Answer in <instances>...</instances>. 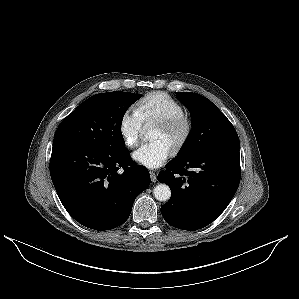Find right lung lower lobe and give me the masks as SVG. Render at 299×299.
Returning <instances> with one entry per match:
<instances>
[{
  "instance_id": "98d812e1",
  "label": "right lung lower lobe",
  "mask_w": 299,
  "mask_h": 299,
  "mask_svg": "<svg viewBox=\"0 0 299 299\" xmlns=\"http://www.w3.org/2000/svg\"><path fill=\"white\" fill-rule=\"evenodd\" d=\"M50 174L67 212L98 231L123 224L135 198L150 184L149 172L131 160L126 148L109 150L69 139L53 141Z\"/></svg>"
}]
</instances>
